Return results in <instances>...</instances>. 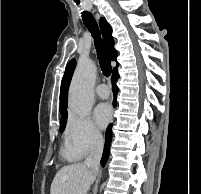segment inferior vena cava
<instances>
[{
  "label": "inferior vena cava",
  "instance_id": "602c4592",
  "mask_svg": "<svg viewBox=\"0 0 201 194\" xmlns=\"http://www.w3.org/2000/svg\"><path fill=\"white\" fill-rule=\"evenodd\" d=\"M104 140L102 136H97L91 145L90 153L85 159L84 164L97 172L100 165V160L103 153Z\"/></svg>",
  "mask_w": 201,
  "mask_h": 194
}]
</instances>
